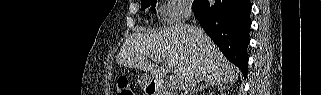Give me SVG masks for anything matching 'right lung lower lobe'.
<instances>
[{
    "label": "right lung lower lobe",
    "mask_w": 321,
    "mask_h": 95,
    "mask_svg": "<svg viewBox=\"0 0 321 95\" xmlns=\"http://www.w3.org/2000/svg\"><path fill=\"white\" fill-rule=\"evenodd\" d=\"M250 0H201L194 9L195 17L207 35L216 43L226 58L247 75V46L250 42Z\"/></svg>",
    "instance_id": "obj_1"
}]
</instances>
